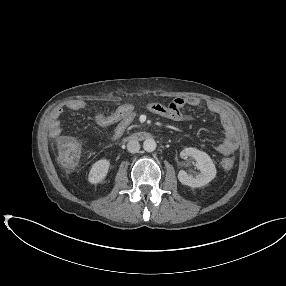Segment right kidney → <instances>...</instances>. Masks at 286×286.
Masks as SVG:
<instances>
[{
  "mask_svg": "<svg viewBox=\"0 0 286 286\" xmlns=\"http://www.w3.org/2000/svg\"><path fill=\"white\" fill-rule=\"evenodd\" d=\"M110 167V161L107 159H100L95 162L89 172L88 180L91 184H98L102 182L107 176Z\"/></svg>",
  "mask_w": 286,
  "mask_h": 286,
  "instance_id": "1",
  "label": "right kidney"
}]
</instances>
